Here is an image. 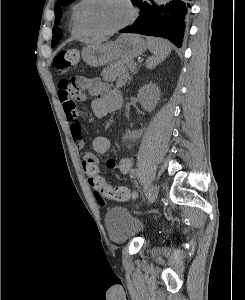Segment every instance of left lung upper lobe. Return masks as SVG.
<instances>
[{"label":"left lung upper lobe","mask_w":245,"mask_h":300,"mask_svg":"<svg viewBox=\"0 0 245 300\" xmlns=\"http://www.w3.org/2000/svg\"><path fill=\"white\" fill-rule=\"evenodd\" d=\"M74 0H57V2L55 3V7H54V12H55V24L57 25L61 19L62 16V11H61V6L63 5H68L70 3H72ZM134 0H132L133 2ZM62 37V31L57 28L54 27L53 28V38H52V47H54L57 42L61 39Z\"/></svg>","instance_id":"left-lung-upper-lobe-1"}]
</instances>
